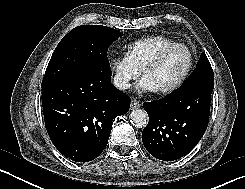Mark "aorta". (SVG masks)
<instances>
[{"label":"aorta","instance_id":"1","mask_svg":"<svg viewBox=\"0 0 245 189\" xmlns=\"http://www.w3.org/2000/svg\"><path fill=\"white\" fill-rule=\"evenodd\" d=\"M132 124L137 128H144L148 122V114L145 110L136 109L130 114Z\"/></svg>","mask_w":245,"mask_h":189}]
</instances>
